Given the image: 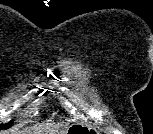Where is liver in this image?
<instances>
[{"instance_id":"liver-1","label":"liver","mask_w":153,"mask_h":134,"mask_svg":"<svg viewBox=\"0 0 153 134\" xmlns=\"http://www.w3.org/2000/svg\"><path fill=\"white\" fill-rule=\"evenodd\" d=\"M40 132H42V126H35L32 130L12 131L13 134H39Z\"/></svg>"}]
</instances>
